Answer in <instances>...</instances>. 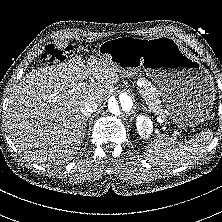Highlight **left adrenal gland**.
I'll list each match as a JSON object with an SVG mask.
<instances>
[{
    "mask_svg": "<svg viewBox=\"0 0 222 222\" xmlns=\"http://www.w3.org/2000/svg\"><path fill=\"white\" fill-rule=\"evenodd\" d=\"M141 105H142V109L147 110L144 104H141Z\"/></svg>",
    "mask_w": 222,
    "mask_h": 222,
    "instance_id": "a2214340",
    "label": "left adrenal gland"
}]
</instances>
